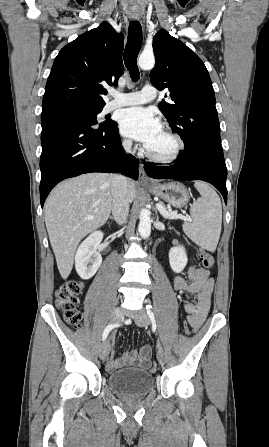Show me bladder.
<instances>
[{"instance_id": "31cf9c89", "label": "bladder", "mask_w": 269, "mask_h": 447, "mask_svg": "<svg viewBox=\"0 0 269 447\" xmlns=\"http://www.w3.org/2000/svg\"><path fill=\"white\" fill-rule=\"evenodd\" d=\"M107 383L122 397H144L154 388V375L148 370L124 368L109 373Z\"/></svg>"}]
</instances>
